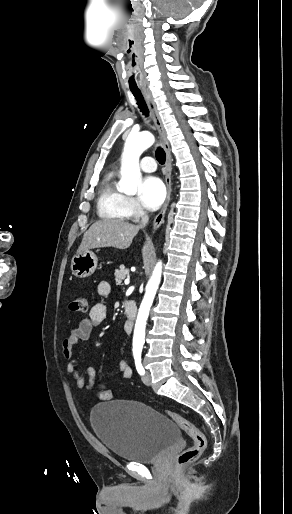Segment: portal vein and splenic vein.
Listing matches in <instances>:
<instances>
[{
	"label": "portal vein and splenic vein",
	"instance_id": "18ae733b",
	"mask_svg": "<svg viewBox=\"0 0 292 514\" xmlns=\"http://www.w3.org/2000/svg\"><path fill=\"white\" fill-rule=\"evenodd\" d=\"M130 280H125L124 284H129Z\"/></svg>",
	"mask_w": 292,
	"mask_h": 514
}]
</instances>
